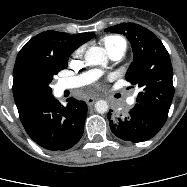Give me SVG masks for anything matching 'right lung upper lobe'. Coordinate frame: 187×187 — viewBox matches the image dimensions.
<instances>
[{
    "label": "right lung upper lobe",
    "mask_w": 187,
    "mask_h": 187,
    "mask_svg": "<svg viewBox=\"0 0 187 187\" xmlns=\"http://www.w3.org/2000/svg\"><path fill=\"white\" fill-rule=\"evenodd\" d=\"M93 37L94 33L91 32L79 33L76 35H69L52 30L42 32L33 37L20 50L16 58L15 67L23 59L28 57L54 58L67 62L68 57L75 49ZM14 100L18 109L32 103L23 99L16 91H14Z\"/></svg>",
    "instance_id": "1"
}]
</instances>
